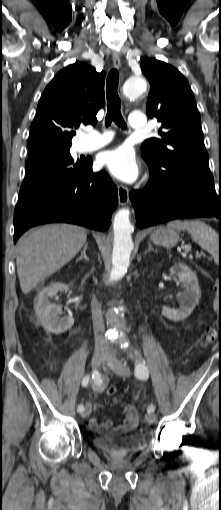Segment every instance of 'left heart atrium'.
<instances>
[{"label":"left heart atrium","instance_id":"39dd6f15","mask_svg":"<svg viewBox=\"0 0 221 510\" xmlns=\"http://www.w3.org/2000/svg\"><path fill=\"white\" fill-rule=\"evenodd\" d=\"M99 163L120 180L130 182L137 176L138 169L133 152L126 147L104 153Z\"/></svg>","mask_w":221,"mask_h":510}]
</instances>
